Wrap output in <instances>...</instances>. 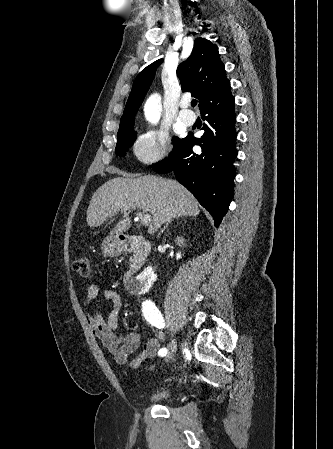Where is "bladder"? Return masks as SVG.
<instances>
[{
  "label": "bladder",
  "mask_w": 333,
  "mask_h": 449,
  "mask_svg": "<svg viewBox=\"0 0 333 449\" xmlns=\"http://www.w3.org/2000/svg\"><path fill=\"white\" fill-rule=\"evenodd\" d=\"M173 390L169 387L160 388L146 396V400L152 403H161L169 400Z\"/></svg>",
  "instance_id": "31cf9c89"
}]
</instances>
